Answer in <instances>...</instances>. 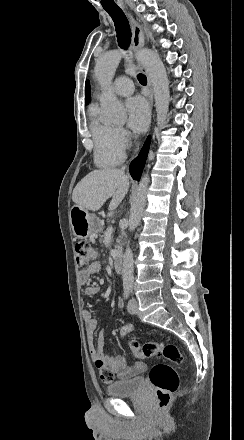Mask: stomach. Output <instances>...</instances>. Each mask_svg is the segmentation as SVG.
<instances>
[{
	"instance_id": "obj_1",
	"label": "stomach",
	"mask_w": 244,
	"mask_h": 440,
	"mask_svg": "<svg viewBox=\"0 0 244 440\" xmlns=\"http://www.w3.org/2000/svg\"><path fill=\"white\" fill-rule=\"evenodd\" d=\"M69 220L73 232L78 240H86L91 234L101 232L98 218L94 214H89L88 210L80 206H72L69 212Z\"/></svg>"
}]
</instances>
